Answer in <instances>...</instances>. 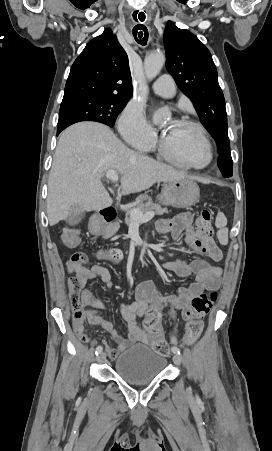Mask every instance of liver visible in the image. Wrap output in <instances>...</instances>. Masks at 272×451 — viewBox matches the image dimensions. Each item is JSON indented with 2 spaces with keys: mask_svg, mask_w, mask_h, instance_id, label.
<instances>
[{
  "mask_svg": "<svg viewBox=\"0 0 272 451\" xmlns=\"http://www.w3.org/2000/svg\"><path fill=\"white\" fill-rule=\"evenodd\" d=\"M107 170L121 174L124 196L148 190L156 182H172L187 176L172 166L129 150L112 130L97 122H79L59 138L48 180L47 216L50 226L73 214L103 210L113 200L101 180Z\"/></svg>",
  "mask_w": 272,
  "mask_h": 451,
  "instance_id": "1",
  "label": "liver"
}]
</instances>
